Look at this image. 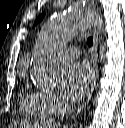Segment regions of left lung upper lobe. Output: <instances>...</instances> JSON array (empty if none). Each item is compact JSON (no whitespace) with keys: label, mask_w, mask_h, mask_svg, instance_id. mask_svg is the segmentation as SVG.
<instances>
[{"label":"left lung upper lobe","mask_w":125,"mask_h":128,"mask_svg":"<svg viewBox=\"0 0 125 128\" xmlns=\"http://www.w3.org/2000/svg\"><path fill=\"white\" fill-rule=\"evenodd\" d=\"M43 17H44V13L41 14V15L36 19L34 25H36L38 22H40V21L43 19Z\"/></svg>","instance_id":"1"}]
</instances>
